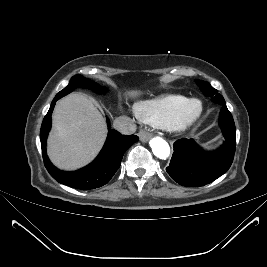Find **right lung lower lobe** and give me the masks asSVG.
Instances as JSON below:
<instances>
[{
    "label": "right lung lower lobe",
    "mask_w": 267,
    "mask_h": 267,
    "mask_svg": "<svg viewBox=\"0 0 267 267\" xmlns=\"http://www.w3.org/2000/svg\"><path fill=\"white\" fill-rule=\"evenodd\" d=\"M58 99L60 98L55 97L52 101L50 109L44 117L40 131L45 167L50 175L59 183L73 188L90 190L107 184L120 167L125 151L137 142L139 138L135 135H121L116 130L110 129V123L107 119L109 129L108 137L97 158L80 170L74 172L61 171L50 162L46 154V139L51 128V114Z\"/></svg>",
    "instance_id": "obj_1"
}]
</instances>
